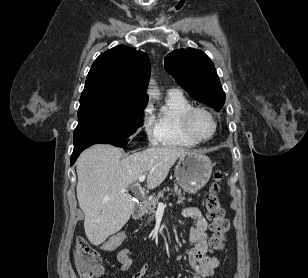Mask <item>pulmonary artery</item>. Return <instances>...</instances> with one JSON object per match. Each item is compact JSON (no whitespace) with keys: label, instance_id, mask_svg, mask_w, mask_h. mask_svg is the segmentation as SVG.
Segmentation results:
<instances>
[{"label":"pulmonary artery","instance_id":"e3ab8cb5","mask_svg":"<svg viewBox=\"0 0 308 278\" xmlns=\"http://www.w3.org/2000/svg\"><path fill=\"white\" fill-rule=\"evenodd\" d=\"M178 93H180V91L178 89H170L168 91V94H178Z\"/></svg>","mask_w":308,"mask_h":278}]
</instances>
